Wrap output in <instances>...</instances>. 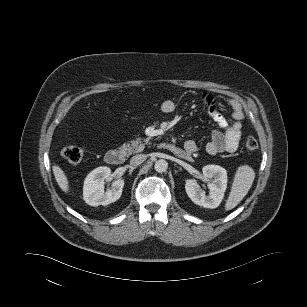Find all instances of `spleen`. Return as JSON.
Returning <instances> with one entry per match:
<instances>
[{
	"instance_id": "obj_1",
	"label": "spleen",
	"mask_w": 307,
	"mask_h": 307,
	"mask_svg": "<svg viewBox=\"0 0 307 307\" xmlns=\"http://www.w3.org/2000/svg\"><path fill=\"white\" fill-rule=\"evenodd\" d=\"M255 178L254 170L248 165L238 167L234 176L231 192L226 200L225 210L236 207L247 195Z\"/></svg>"
}]
</instances>
